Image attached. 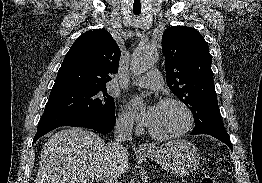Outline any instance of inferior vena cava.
Listing matches in <instances>:
<instances>
[{
  "label": "inferior vena cava",
  "mask_w": 262,
  "mask_h": 183,
  "mask_svg": "<svg viewBox=\"0 0 262 183\" xmlns=\"http://www.w3.org/2000/svg\"><path fill=\"white\" fill-rule=\"evenodd\" d=\"M132 128L133 122L128 118H121L116 122L114 130L115 141L109 143V146L115 149L117 154H125L126 150L122 142L132 140Z\"/></svg>",
  "instance_id": "1"
}]
</instances>
